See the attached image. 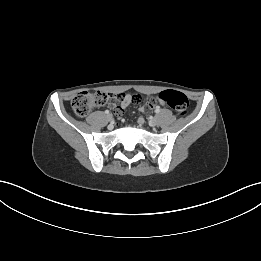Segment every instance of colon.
Wrapping results in <instances>:
<instances>
[{"label":"colon","mask_w":261,"mask_h":261,"mask_svg":"<svg viewBox=\"0 0 261 261\" xmlns=\"http://www.w3.org/2000/svg\"><path fill=\"white\" fill-rule=\"evenodd\" d=\"M160 101L171 107L179 116H184L188 112L189 102L187 97L178 91L166 90L159 93ZM120 101V95H110L105 92H80L71 101V106L77 116L83 117L93 109L108 102Z\"/></svg>","instance_id":"1"}]
</instances>
